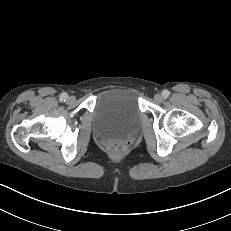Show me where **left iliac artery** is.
<instances>
[{
  "instance_id": "44dca946",
  "label": "left iliac artery",
  "mask_w": 231,
  "mask_h": 231,
  "mask_svg": "<svg viewBox=\"0 0 231 231\" xmlns=\"http://www.w3.org/2000/svg\"><path fill=\"white\" fill-rule=\"evenodd\" d=\"M169 95H170V91H168L166 89L162 91L163 98H167V97H169Z\"/></svg>"
}]
</instances>
